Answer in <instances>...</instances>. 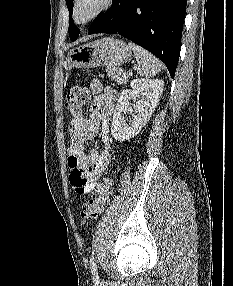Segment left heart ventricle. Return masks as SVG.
<instances>
[{
	"label": "left heart ventricle",
	"instance_id": "obj_1",
	"mask_svg": "<svg viewBox=\"0 0 233 286\" xmlns=\"http://www.w3.org/2000/svg\"><path fill=\"white\" fill-rule=\"evenodd\" d=\"M102 0H81L77 7L78 20H84L95 13L101 6Z\"/></svg>",
	"mask_w": 233,
	"mask_h": 286
}]
</instances>
